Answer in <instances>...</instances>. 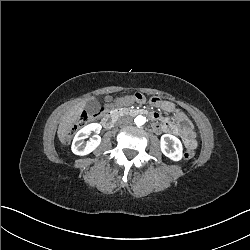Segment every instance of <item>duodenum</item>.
<instances>
[{"instance_id":"obj_1","label":"duodenum","mask_w":250,"mask_h":250,"mask_svg":"<svg viewBox=\"0 0 250 250\" xmlns=\"http://www.w3.org/2000/svg\"><path fill=\"white\" fill-rule=\"evenodd\" d=\"M137 116V115H142V116H151V114L142 108H137V109H130L126 110L124 108H116L110 110L105 116L102 121V125L106 130H110L114 127L116 121L121 118L122 116ZM161 132V131H159Z\"/></svg>"}]
</instances>
